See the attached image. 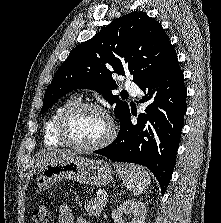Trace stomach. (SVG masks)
Wrapping results in <instances>:
<instances>
[{"instance_id":"1","label":"stomach","mask_w":221,"mask_h":223,"mask_svg":"<svg viewBox=\"0 0 221 223\" xmlns=\"http://www.w3.org/2000/svg\"><path fill=\"white\" fill-rule=\"evenodd\" d=\"M62 180L104 186L113 180V170L103 160L71 156L46 163L37 173V186L42 191Z\"/></svg>"}]
</instances>
